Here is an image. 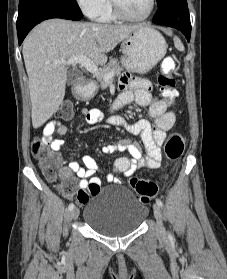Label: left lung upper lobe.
I'll return each mask as SVG.
<instances>
[{"label": "left lung upper lobe", "mask_w": 227, "mask_h": 279, "mask_svg": "<svg viewBox=\"0 0 227 279\" xmlns=\"http://www.w3.org/2000/svg\"><path fill=\"white\" fill-rule=\"evenodd\" d=\"M167 0H157L158 7L163 5Z\"/></svg>", "instance_id": "left-lung-upper-lobe-1"}]
</instances>
